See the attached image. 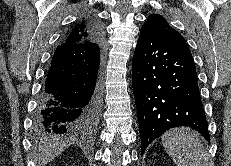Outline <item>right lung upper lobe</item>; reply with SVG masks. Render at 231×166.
<instances>
[{
  "mask_svg": "<svg viewBox=\"0 0 231 166\" xmlns=\"http://www.w3.org/2000/svg\"><path fill=\"white\" fill-rule=\"evenodd\" d=\"M90 18L78 22L63 38V43H90L96 39Z\"/></svg>",
  "mask_w": 231,
  "mask_h": 166,
  "instance_id": "obj_1",
  "label": "right lung upper lobe"
}]
</instances>
